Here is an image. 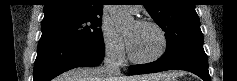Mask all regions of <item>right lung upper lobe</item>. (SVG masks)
<instances>
[{"instance_id":"right-lung-upper-lobe-1","label":"right lung upper lobe","mask_w":237,"mask_h":81,"mask_svg":"<svg viewBox=\"0 0 237 81\" xmlns=\"http://www.w3.org/2000/svg\"><path fill=\"white\" fill-rule=\"evenodd\" d=\"M104 0H47L44 5V19L61 16H100Z\"/></svg>"}]
</instances>
